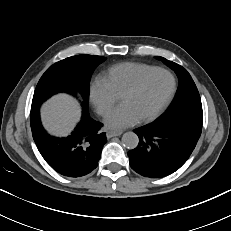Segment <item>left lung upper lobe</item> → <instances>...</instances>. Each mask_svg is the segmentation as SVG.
Masks as SVG:
<instances>
[{
	"mask_svg": "<svg viewBox=\"0 0 231 231\" xmlns=\"http://www.w3.org/2000/svg\"><path fill=\"white\" fill-rule=\"evenodd\" d=\"M175 71L179 87L169 110L156 122H175L178 120L198 121L202 123V104L197 87L185 68L163 57H157Z\"/></svg>",
	"mask_w": 231,
	"mask_h": 231,
	"instance_id": "5c2ea615",
	"label": "left lung upper lobe"
}]
</instances>
